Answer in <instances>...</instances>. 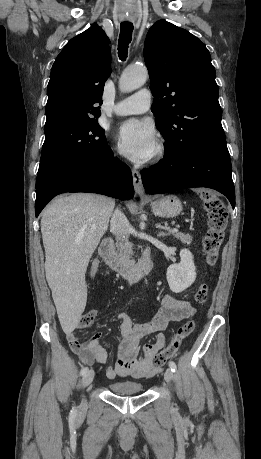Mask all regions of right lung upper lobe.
I'll return each instance as SVG.
<instances>
[{
  "instance_id": "cb5924a9",
  "label": "right lung upper lobe",
  "mask_w": 261,
  "mask_h": 459,
  "mask_svg": "<svg viewBox=\"0 0 261 459\" xmlns=\"http://www.w3.org/2000/svg\"><path fill=\"white\" fill-rule=\"evenodd\" d=\"M105 32L93 25L72 38L56 58L48 83L46 123L97 120L105 81L111 72V53Z\"/></svg>"
}]
</instances>
